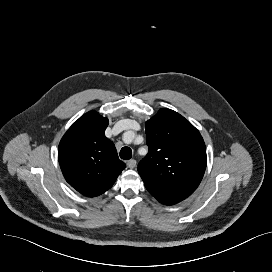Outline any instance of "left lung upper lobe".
<instances>
[{
    "label": "left lung upper lobe",
    "mask_w": 272,
    "mask_h": 272,
    "mask_svg": "<svg viewBox=\"0 0 272 272\" xmlns=\"http://www.w3.org/2000/svg\"><path fill=\"white\" fill-rule=\"evenodd\" d=\"M148 154L138 165L145 186L190 196L206 169L199 131L177 112L162 108L146 122Z\"/></svg>",
    "instance_id": "left-lung-upper-lobe-1"
}]
</instances>
